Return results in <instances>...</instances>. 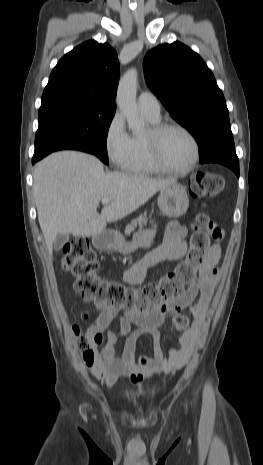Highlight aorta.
<instances>
[{
  "label": "aorta",
  "mask_w": 263,
  "mask_h": 465,
  "mask_svg": "<svg viewBox=\"0 0 263 465\" xmlns=\"http://www.w3.org/2000/svg\"><path fill=\"white\" fill-rule=\"evenodd\" d=\"M137 79L136 69L128 70L119 81L116 97L120 110L127 118L128 127L133 132H138L144 126L136 103Z\"/></svg>",
  "instance_id": "obj_1"
}]
</instances>
